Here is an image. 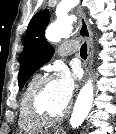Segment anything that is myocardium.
Returning <instances> with one entry per match:
<instances>
[{"label":"myocardium","mask_w":116,"mask_h":134,"mask_svg":"<svg viewBox=\"0 0 116 134\" xmlns=\"http://www.w3.org/2000/svg\"><path fill=\"white\" fill-rule=\"evenodd\" d=\"M54 81H56V78L51 75L41 77V79L30 91L27 99V106L31 115L37 120L46 123L61 121L70 113L69 105L60 113L52 112L45 105V93L48 89V86Z\"/></svg>","instance_id":"1"}]
</instances>
